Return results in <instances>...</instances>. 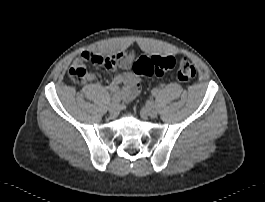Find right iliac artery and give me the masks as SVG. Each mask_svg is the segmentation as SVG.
<instances>
[{"label": "right iliac artery", "instance_id": "1", "mask_svg": "<svg viewBox=\"0 0 265 202\" xmlns=\"http://www.w3.org/2000/svg\"><path fill=\"white\" fill-rule=\"evenodd\" d=\"M120 100H121V99H120L119 96L114 95V96H112V98H111V104H116V103H118Z\"/></svg>", "mask_w": 265, "mask_h": 202}]
</instances>
